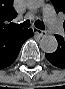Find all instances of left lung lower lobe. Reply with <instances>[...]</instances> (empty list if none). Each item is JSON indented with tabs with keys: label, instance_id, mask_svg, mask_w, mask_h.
Returning a JSON list of instances; mask_svg holds the SVG:
<instances>
[{
	"label": "left lung lower lobe",
	"instance_id": "0a47b994",
	"mask_svg": "<svg viewBox=\"0 0 65 89\" xmlns=\"http://www.w3.org/2000/svg\"><path fill=\"white\" fill-rule=\"evenodd\" d=\"M58 41V48L54 53L45 54L47 60L59 67L65 69V36H55Z\"/></svg>",
	"mask_w": 65,
	"mask_h": 89
}]
</instances>
